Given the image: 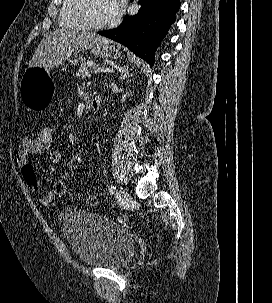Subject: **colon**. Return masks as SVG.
<instances>
[{"mask_svg":"<svg viewBox=\"0 0 272 303\" xmlns=\"http://www.w3.org/2000/svg\"><path fill=\"white\" fill-rule=\"evenodd\" d=\"M36 138L42 145L54 148L56 141V130L54 126L52 124L45 123L41 126ZM82 161V156L80 154H73L69 157L66 172L58 180H56L53 185V191L56 196L63 197L66 195L67 180L70 176L80 170ZM22 174L30 187L34 189L38 188V180L33 168L30 165H25L22 167ZM86 202L90 207H95L98 204V200L94 195H89Z\"/></svg>","mask_w":272,"mask_h":303,"instance_id":"obj_1","label":"colon"}]
</instances>
